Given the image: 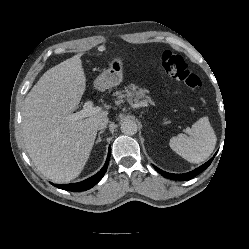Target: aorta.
<instances>
[{"mask_svg": "<svg viewBox=\"0 0 249 249\" xmlns=\"http://www.w3.org/2000/svg\"><path fill=\"white\" fill-rule=\"evenodd\" d=\"M138 127L135 121L125 120L121 124V131L123 134L132 136L137 133Z\"/></svg>", "mask_w": 249, "mask_h": 249, "instance_id": "obj_1", "label": "aorta"}]
</instances>
